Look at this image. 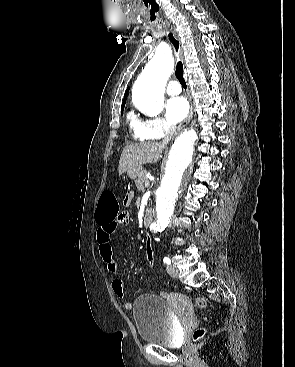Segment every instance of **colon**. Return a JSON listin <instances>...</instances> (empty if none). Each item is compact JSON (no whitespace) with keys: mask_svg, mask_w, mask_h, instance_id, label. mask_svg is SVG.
Wrapping results in <instances>:
<instances>
[{"mask_svg":"<svg viewBox=\"0 0 295 367\" xmlns=\"http://www.w3.org/2000/svg\"><path fill=\"white\" fill-rule=\"evenodd\" d=\"M124 204H129V199H124ZM118 213H119V205L115 195L112 192H104L99 200L98 210H97V219L102 222H107L113 219L118 220ZM128 217V215H127ZM143 245L146 246V257L147 261L152 264L154 259V252L152 249V240L146 234L143 237ZM197 304L200 307H205L206 302L202 298L197 299ZM204 335V329H197L194 332V339L199 340Z\"/></svg>","mask_w":295,"mask_h":367,"instance_id":"1","label":"colon"}]
</instances>
